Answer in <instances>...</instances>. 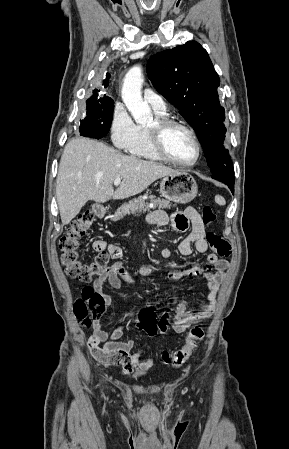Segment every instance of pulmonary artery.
<instances>
[{"instance_id":"e3ab8cb5","label":"pulmonary artery","mask_w":289,"mask_h":449,"mask_svg":"<svg viewBox=\"0 0 289 449\" xmlns=\"http://www.w3.org/2000/svg\"><path fill=\"white\" fill-rule=\"evenodd\" d=\"M143 96L145 101L154 109L157 111H165L166 105L163 100V98L157 94L155 91H153L150 88H147L143 92Z\"/></svg>"}]
</instances>
